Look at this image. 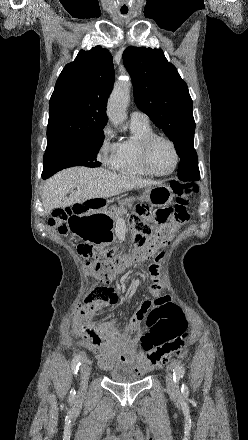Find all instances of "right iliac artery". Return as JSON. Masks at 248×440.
Here are the masks:
<instances>
[{
	"mask_svg": "<svg viewBox=\"0 0 248 440\" xmlns=\"http://www.w3.org/2000/svg\"><path fill=\"white\" fill-rule=\"evenodd\" d=\"M81 360H82L81 354L76 355L72 360L71 367H72V370L74 371L75 374H77V371H78L79 366L81 364ZM74 396H75V390L72 389L70 391V397L74 398Z\"/></svg>",
	"mask_w": 248,
	"mask_h": 440,
	"instance_id": "1",
	"label": "right iliac artery"
}]
</instances>
